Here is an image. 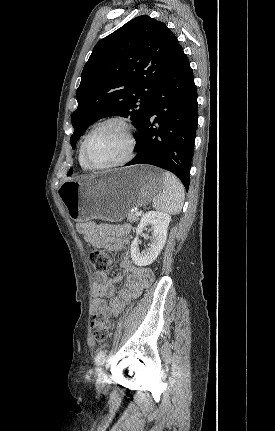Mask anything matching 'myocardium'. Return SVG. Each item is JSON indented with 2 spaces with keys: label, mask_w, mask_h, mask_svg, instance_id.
I'll return each instance as SVG.
<instances>
[{
  "label": "myocardium",
  "mask_w": 275,
  "mask_h": 431,
  "mask_svg": "<svg viewBox=\"0 0 275 431\" xmlns=\"http://www.w3.org/2000/svg\"><path fill=\"white\" fill-rule=\"evenodd\" d=\"M111 123H117L120 126H122L128 136V150L126 155L119 161L114 162V163H110V164H104V165H95L92 164L88 158H87V154H86V147H87V143L90 139V137L94 134L95 131H97L99 128L107 125V124H111ZM135 148H136V138H135V131H134V127L132 126V124L125 118L120 117V116H114V117H109L106 118L100 122H98L97 124H95L90 130L89 132L86 134L85 138L83 139V142L81 144V155H82V159L84 161V163L87 165V167H89L90 169L93 170H106V169H112V168H117V167H121L123 165H126L127 163H129L133 157H134V153H135Z\"/></svg>",
  "instance_id": "obj_1"
}]
</instances>
